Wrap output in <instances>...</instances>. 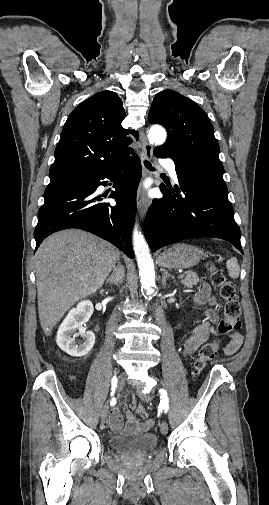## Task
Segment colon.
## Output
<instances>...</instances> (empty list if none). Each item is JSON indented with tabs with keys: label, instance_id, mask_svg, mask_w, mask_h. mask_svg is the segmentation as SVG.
Wrapping results in <instances>:
<instances>
[{
	"label": "colon",
	"instance_id": "obj_1",
	"mask_svg": "<svg viewBox=\"0 0 269 505\" xmlns=\"http://www.w3.org/2000/svg\"><path fill=\"white\" fill-rule=\"evenodd\" d=\"M210 280L214 287L219 289L221 298L225 301L223 316L218 324V331L222 335L234 333L241 326V306L236 294L235 285L228 280L221 269L210 265ZM219 342L211 341L203 344L194 361V374L199 375L213 360L219 352ZM136 412L141 417L147 416V411L144 406L139 405Z\"/></svg>",
	"mask_w": 269,
	"mask_h": 505
}]
</instances>
